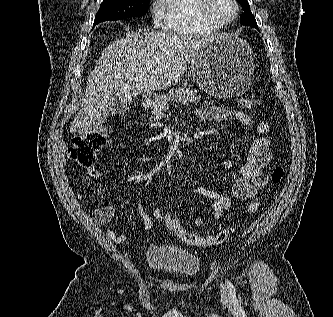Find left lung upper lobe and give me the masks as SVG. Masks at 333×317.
Returning <instances> with one entry per match:
<instances>
[{
    "mask_svg": "<svg viewBox=\"0 0 333 317\" xmlns=\"http://www.w3.org/2000/svg\"><path fill=\"white\" fill-rule=\"evenodd\" d=\"M242 8L244 9V14L240 17V21L244 25L252 26L259 30L256 20L250 11V6L247 0H237Z\"/></svg>",
    "mask_w": 333,
    "mask_h": 317,
    "instance_id": "left-lung-upper-lobe-1",
    "label": "left lung upper lobe"
}]
</instances>
